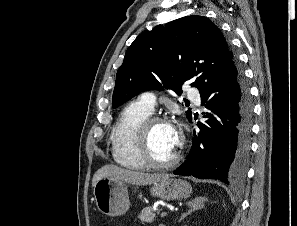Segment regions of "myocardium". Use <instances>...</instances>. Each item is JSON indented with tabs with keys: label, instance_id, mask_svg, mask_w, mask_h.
<instances>
[{
	"label": "myocardium",
	"instance_id": "myocardium-1",
	"mask_svg": "<svg viewBox=\"0 0 297 226\" xmlns=\"http://www.w3.org/2000/svg\"><path fill=\"white\" fill-rule=\"evenodd\" d=\"M160 123L170 124V121L161 116L150 115L140 124L136 135V147L138 155L143 160L145 165L154 169L173 167L180 161L182 157L183 139H181L179 142L176 153L169 160L158 161L153 157L150 151L149 137L153 126Z\"/></svg>",
	"mask_w": 297,
	"mask_h": 226
}]
</instances>
